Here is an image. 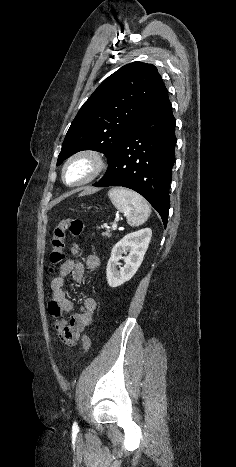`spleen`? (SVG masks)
I'll list each match as a JSON object with an SVG mask.
<instances>
[{"label":"spleen","instance_id":"3e777b00","mask_svg":"<svg viewBox=\"0 0 236 467\" xmlns=\"http://www.w3.org/2000/svg\"><path fill=\"white\" fill-rule=\"evenodd\" d=\"M108 196L113 205L124 213L130 226L143 224L151 214L147 201L138 193L122 187L112 188Z\"/></svg>","mask_w":236,"mask_h":467}]
</instances>
